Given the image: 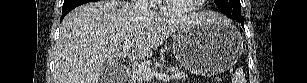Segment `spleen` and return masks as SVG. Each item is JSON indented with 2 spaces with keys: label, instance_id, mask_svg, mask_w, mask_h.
Returning a JSON list of instances; mask_svg holds the SVG:
<instances>
[{
  "label": "spleen",
  "instance_id": "3e777b00",
  "mask_svg": "<svg viewBox=\"0 0 307 83\" xmlns=\"http://www.w3.org/2000/svg\"><path fill=\"white\" fill-rule=\"evenodd\" d=\"M232 83H246L245 73L242 68L236 69L233 75Z\"/></svg>",
  "mask_w": 307,
  "mask_h": 83
}]
</instances>
